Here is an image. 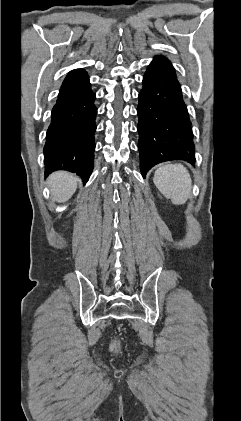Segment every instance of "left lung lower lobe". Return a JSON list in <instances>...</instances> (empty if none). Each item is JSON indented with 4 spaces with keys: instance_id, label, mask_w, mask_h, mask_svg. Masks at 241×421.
I'll use <instances>...</instances> for the list:
<instances>
[{
    "instance_id": "1",
    "label": "left lung lower lobe",
    "mask_w": 241,
    "mask_h": 421,
    "mask_svg": "<svg viewBox=\"0 0 241 421\" xmlns=\"http://www.w3.org/2000/svg\"><path fill=\"white\" fill-rule=\"evenodd\" d=\"M137 114L138 149L143 177L169 160L195 163L191 121L171 62L156 56L143 77Z\"/></svg>"
}]
</instances>
